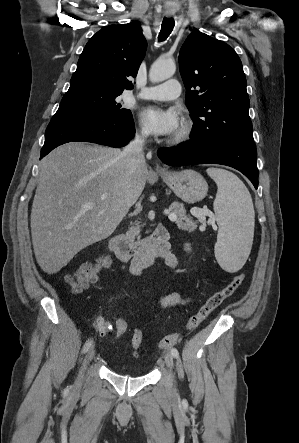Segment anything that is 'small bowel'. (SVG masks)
Returning a JSON list of instances; mask_svg holds the SVG:
<instances>
[{"mask_svg":"<svg viewBox=\"0 0 299 443\" xmlns=\"http://www.w3.org/2000/svg\"><path fill=\"white\" fill-rule=\"evenodd\" d=\"M190 249H191L190 246H187V251H190ZM161 258L164 260L165 264L169 268H176L179 264L178 257L176 255H174L173 253H171L170 251H168ZM130 270H131V273L135 277H140L143 272L142 267H139L134 264L131 265ZM189 303H190L189 298L182 297L178 293H169V294L160 296L157 300V306L160 308H172V307H177V306H185V305H188ZM97 329H98L99 335L101 337H104L108 333H111V330H112L111 323L107 319H105L104 317L100 316L97 319ZM131 352L136 358L140 357V348L139 349L132 348Z\"/></svg>","mask_w":299,"mask_h":443,"instance_id":"1","label":"small bowel"}]
</instances>
